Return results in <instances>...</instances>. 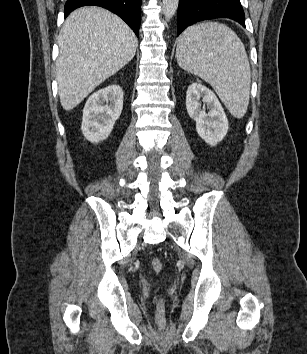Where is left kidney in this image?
<instances>
[{"instance_id":"left-kidney-1","label":"left kidney","mask_w":307,"mask_h":354,"mask_svg":"<svg viewBox=\"0 0 307 354\" xmlns=\"http://www.w3.org/2000/svg\"><path fill=\"white\" fill-rule=\"evenodd\" d=\"M201 100L209 112L201 107ZM186 109L196 122L198 135L209 145L222 141L228 132V119L216 95L204 85L192 83L186 93Z\"/></svg>"}]
</instances>
